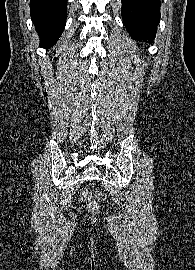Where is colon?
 Masks as SVG:
<instances>
[{
  "instance_id": "colon-1",
  "label": "colon",
  "mask_w": 195,
  "mask_h": 270,
  "mask_svg": "<svg viewBox=\"0 0 195 270\" xmlns=\"http://www.w3.org/2000/svg\"><path fill=\"white\" fill-rule=\"evenodd\" d=\"M81 201H85L88 207V210L92 213H97L100 209V205L91 199V196L89 194H82L80 196Z\"/></svg>"
}]
</instances>
